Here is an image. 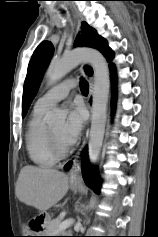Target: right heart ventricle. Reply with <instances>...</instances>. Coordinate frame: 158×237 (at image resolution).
Returning <instances> with one entry per match:
<instances>
[{
  "instance_id": "e07e8e85",
  "label": "right heart ventricle",
  "mask_w": 158,
  "mask_h": 237,
  "mask_svg": "<svg viewBox=\"0 0 158 237\" xmlns=\"http://www.w3.org/2000/svg\"><path fill=\"white\" fill-rule=\"evenodd\" d=\"M47 111L48 107L34 106L25 135L28 155L40 167H51L57 160L53 156L47 140L48 127L44 122Z\"/></svg>"
}]
</instances>
